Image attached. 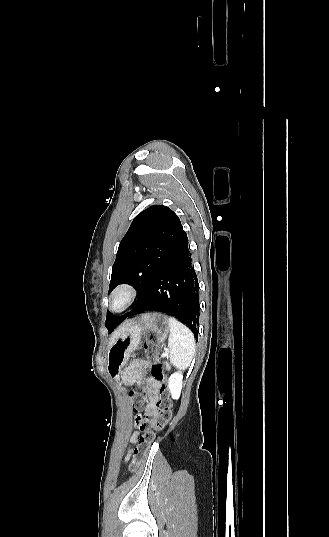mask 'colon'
I'll return each mask as SVG.
<instances>
[{
	"label": "colon",
	"mask_w": 329,
	"mask_h": 537,
	"mask_svg": "<svg viewBox=\"0 0 329 537\" xmlns=\"http://www.w3.org/2000/svg\"><path fill=\"white\" fill-rule=\"evenodd\" d=\"M145 352L150 360H156L159 355V348L156 343L149 342L145 344ZM152 373L156 379L162 381L157 393V410L158 414L153 422L146 419H137V426L142 432L138 443L134 449V455L129 465V470L134 472L141 464L143 458L150 449L155 439L156 432L163 429L172 418V405L169 397V391L165 382V375L159 364L152 365ZM146 384L139 381L137 391L130 393V400L133 410L139 412L143 409L146 401Z\"/></svg>",
	"instance_id": "1"
}]
</instances>
